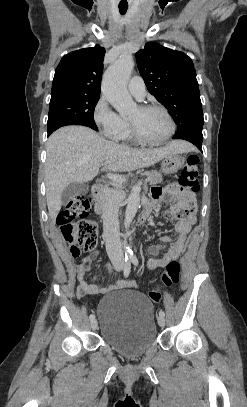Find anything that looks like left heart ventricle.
<instances>
[{"instance_id": "b2bd125f", "label": "left heart ventricle", "mask_w": 247, "mask_h": 407, "mask_svg": "<svg viewBox=\"0 0 247 407\" xmlns=\"http://www.w3.org/2000/svg\"><path fill=\"white\" fill-rule=\"evenodd\" d=\"M128 120L135 124L140 135L148 141H159L170 130L168 119L159 110H141L137 107Z\"/></svg>"}]
</instances>
